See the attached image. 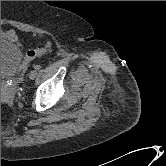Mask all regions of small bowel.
Returning a JSON list of instances; mask_svg holds the SVG:
<instances>
[{
    "label": "small bowel",
    "instance_id": "obj_1",
    "mask_svg": "<svg viewBox=\"0 0 166 166\" xmlns=\"http://www.w3.org/2000/svg\"><path fill=\"white\" fill-rule=\"evenodd\" d=\"M1 38H7L16 43H18L19 40L18 35L13 30H7V31L1 30Z\"/></svg>",
    "mask_w": 166,
    "mask_h": 166
}]
</instances>
